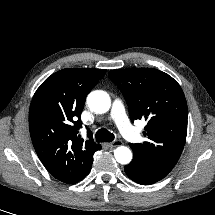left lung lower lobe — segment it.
<instances>
[{"label":"left lung lower lobe","instance_id":"0a47b994","mask_svg":"<svg viewBox=\"0 0 215 215\" xmlns=\"http://www.w3.org/2000/svg\"><path fill=\"white\" fill-rule=\"evenodd\" d=\"M124 169L131 180L142 185L153 184L169 174L168 171L145 163L135 153H133L132 162Z\"/></svg>","mask_w":215,"mask_h":215}]
</instances>
